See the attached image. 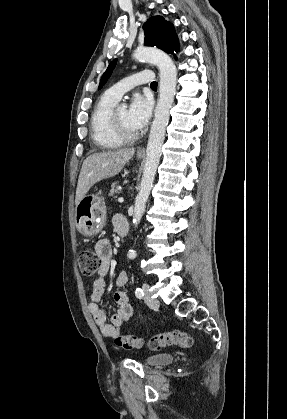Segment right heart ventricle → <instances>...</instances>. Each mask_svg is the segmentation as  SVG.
Here are the masks:
<instances>
[{
  "label": "right heart ventricle",
  "instance_id": "1",
  "mask_svg": "<svg viewBox=\"0 0 287 419\" xmlns=\"http://www.w3.org/2000/svg\"><path fill=\"white\" fill-rule=\"evenodd\" d=\"M118 100L106 92L98 100L90 120L91 138L94 144L101 149H115L120 147V141L112 131L110 115Z\"/></svg>",
  "mask_w": 287,
  "mask_h": 419
}]
</instances>
